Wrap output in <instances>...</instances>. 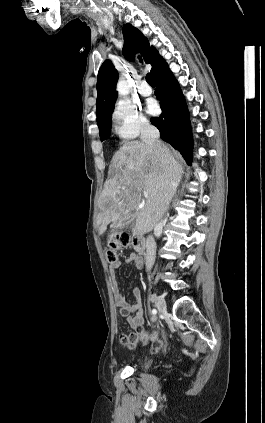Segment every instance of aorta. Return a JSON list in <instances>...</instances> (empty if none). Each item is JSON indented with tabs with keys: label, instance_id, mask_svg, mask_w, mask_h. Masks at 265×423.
<instances>
[{
	"label": "aorta",
	"instance_id": "aorta-1",
	"mask_svg": "<svg viewBox=\"0 0 265 423\" xmlns=\"http://www.w3.org/2000/svg\"><path fill=\"white\" fill-rule=\"evenodd\" d=\"M116 90L119 95L127 96L130 92V86L124 78H120L117 83Z\"/></svg>",
	"mask_w": 265,
	"mask_h": 423
}]
</instances>
